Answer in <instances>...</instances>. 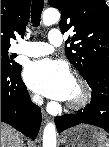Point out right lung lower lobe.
<instances>
[{
	"instance_id": "right-lung-lower-lobe-1",
	"label": "right lung lower lobe",
	"mask_w": 109,
	"mask_h": 147,
	"mask_svg": "<svg viewBox=\"0 0 109 147\" xmlns=\"http://www.w3.org/2000/svg\"><path fill=\"white\" fill-rule=\"evenodd\" d=\"M21 68H1V121L35 139L41 125V110L30 100L20 76Z\"/></svg>"
}]
</instances>
